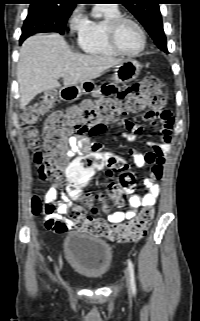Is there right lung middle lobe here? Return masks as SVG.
Segmentation results:
<instances>
[{
	"label": "right lung middle lobe",
	"mask_w": 200,
	"mask_h": 321,
	"mask_svg": "<svg viewBox=\"0 0 200 321\" xmlns=\"http://www.w3.org/2000/svg\"><path fill=\"white\" fill-rule=\"evenodd\" d=\"M71 12V10H59L47 5H30L23 24L20 43L35 33L57 32L64 34Z\"/></svg>",
	"instance_id": "dd1d6c3e"
}]
</instances>
